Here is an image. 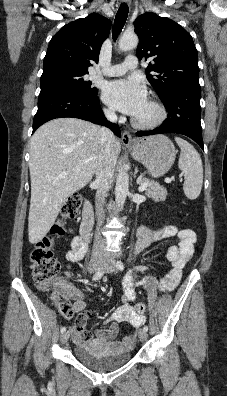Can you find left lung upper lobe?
<instances>
[{
	"label": "left lung upper lobe",
	"mask_w": 227,
	"mask_h": 396,
	"mask_svg": "<svg viewBox=\"0 0 227 396\" xmlns=\"http://www.w3.org/2000/svg\"><path fill=\"white\" fill-rule=\"evenodd\" d=\"M135 32L139 37L137 56L152 58L146 72L161 100L173 91L185 88L201 89L198 54L191 35L178 23L152 12L136 18Z\"/></svg>",
	"instance_id": "1"
}]
</instances>
